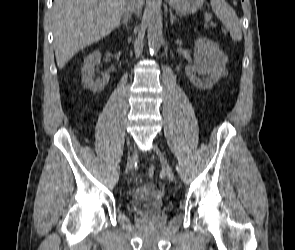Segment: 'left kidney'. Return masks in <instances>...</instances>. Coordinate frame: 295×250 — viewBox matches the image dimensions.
Wrapping results in <instances>:
<instances>
[{
  "instance_id": "obj_1",
  "label": "left kidney",
  "mask_w": 295,
  "mask_h": 250,
  "mask_svg": "<svg viewBox=\"0 0 295 250\" xmlns=\"http://www.w3.org/2000/svg\"><path fill=\"white\" fill-rule=\"evenodd\" d=\"M227 57L209 39L199 38L195 41L194 64L187 66L185 72L189 80L198 88L211 89L225 70ZM197 74H207L208 78L200 79Z\"/></svg>"
}]
</instances>
